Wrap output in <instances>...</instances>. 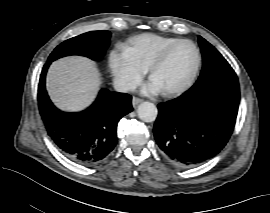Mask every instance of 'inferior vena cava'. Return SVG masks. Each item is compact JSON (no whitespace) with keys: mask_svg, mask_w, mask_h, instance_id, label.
<instances>
[{"mask_svg":"<svg viewBox=\"0 0 270 213\" xmlns=\"http://www.w3.org/2000/svg\"><path fill=\"white\" fill-rule=\"evenodd\" d=\"M115 90L118 92H128L136 88V84L125 79H115L113 82Z\"/></svg>","mask_w":270,"mask_h":213,"instance_id":"602c4592","label":"inferior vena cava"}]
</instances>
